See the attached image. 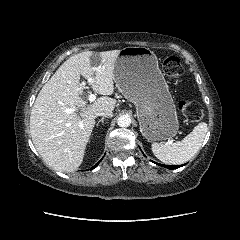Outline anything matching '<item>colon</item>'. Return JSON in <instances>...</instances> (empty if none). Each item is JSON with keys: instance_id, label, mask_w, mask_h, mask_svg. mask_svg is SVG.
Instances as JSON below:
<instances>
[{"instance_id": "5ec220e1", "label": "colon", "mask_w": 240, "mask_h": 240, "mask_svg": "<svg viewBox=\"0 0 240 240\" xmlns=\"http://www.w3.org/2000/svg\"><path fill=\"white\" fill-rule=\"evenodd\" d=\"M163 72L171 79H176L183 74V67L180 60L175 56L167 57L163 62ZM179 110L190 121L197 122L203 117L202 106L190 100H183L179 103Z\"/></svg>"}]
</instances>
